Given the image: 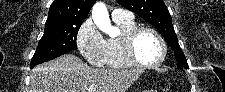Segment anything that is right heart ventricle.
Here are the masks:
<instances>
[{"label":"right heart ventricle","instance_id":"obj_1","mask_svg":"<svg viewBox=\"0 0 225 92\" xmlns=\"http://www.w3.org/2000/svg\"><path fill=\"white\" fill-rule=\"evenodd\" d=\"M120 29V35L106 40L107 65L113 69L131 67L123 58L120 42L124 34L136 26L134 19L114 20Z\"/></svg>","mask_w":225,"mask_h":92}]
</instances>
